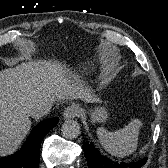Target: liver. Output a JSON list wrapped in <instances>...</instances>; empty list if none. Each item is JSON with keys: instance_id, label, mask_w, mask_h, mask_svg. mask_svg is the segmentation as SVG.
Segmentation results:
<instances>
[{"instance_id": "1", "label": "liver", "mask_w": 168, "mask_h": 168, "mask_svg": "<svg viewBox=\"0 0 168 168\" xmlns=\"http://www.w3.org/2000/svg\"><path fill=\"white\" fill-rule=\"evenodd\" d=\"M80 99L98 101L55 61L23 62L0 71V156L12 154L31 128L29 112L40 102Z\"/></svg>"}]
</instances>
